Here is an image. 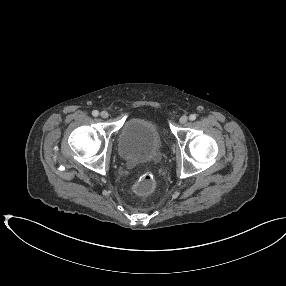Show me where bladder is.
<instances>
[{
  "mask_svg": "<svg viewBox=\"0 0 286 286\" xmlns=\"http://www.w3.org/2000/svg\"><path fill=\"white\" fill-rule=\"evenodd\" d=\"M119 154L127 162L146 163L162 155V139L156 123L147 117H130L119 136Z\"/></svg>",
  "mask_w": 286,
  "mask_h": 286,
  "instance_id": "31cf9c89",
  "label": "bladder"
}]
</instances>
